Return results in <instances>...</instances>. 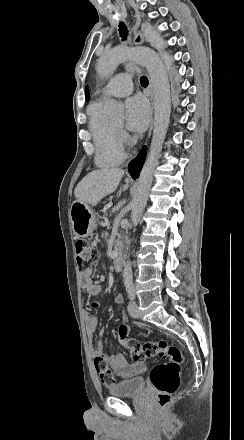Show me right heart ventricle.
I'll use <instances>...</instances> for the list:
<instances>
[{
    "mask_svg": "<svg viewBox=\"0 0 244 440\" xmlns=\"http://www.w3.org/2000/svg\"><path fill=\"white\" fill-rule=\"evenodd\" d=\"M103 102L100 99L92 101L87 107L88 126L94 141L95 163L100 168H112L118 166L125 158L122 145L115 147L111 141L115 136V130L101 119Z\"/></svg>",
    "mask_w": 244,
    "mask_h": 440,
    "instance_id": "right-heart-ventricle-1",
    "label": "right heart ventricle"
}]
</instances>
